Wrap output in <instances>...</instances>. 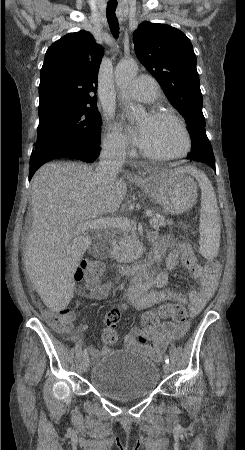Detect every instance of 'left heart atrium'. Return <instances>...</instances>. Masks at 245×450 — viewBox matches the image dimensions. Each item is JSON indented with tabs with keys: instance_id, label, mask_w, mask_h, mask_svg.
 <instances>
[{
	"instance_id": "1",
	"label": "left heart atrium",
	"mask_w": 245,
	"mask_h": 450,
	"mask_svg": "<svg viewBox=\"0 0 245 450\" xmlns=\"http://www.w3.org/2000/svg\"><path fill=\"white\" fill-rule=\"evenodd\" d=\"M143 137H144V130L141 127L132 132V138L134 142L140 146L142 145Z\"/></svg>"
}]
</instances>
